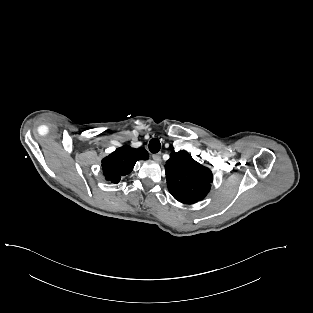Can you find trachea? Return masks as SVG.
I'll list each match as a JSON object with an SVG mask.
<instances>
[{
	"label": "trachea",
	"instance_id": "obj_1",
	"mask_svg": "<svg viewBox=\"0 0 313 313\" xmlns=\"http://www.w3.org/2000/svg\"><path fill=\"white\" fill-rule=\"evenodd\" d=\"M161 148L160 141L157 138H153L149 142V150L151 153H157L159 152Z\"/></svg>",
	"mask_w": 313,
	"mask_h": 313
}]
</instances>
